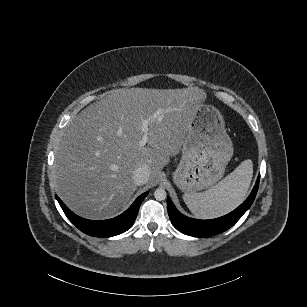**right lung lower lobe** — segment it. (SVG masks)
Returning a JSON list of instances; mask_svg holds the SVG:
<instances>
[{
	"label": "right lung lower lobe",
	"mask_w": 307,
	"mask_h": 307,
	"mask_svg": "<svg viewBox=\"0 0 307 307\" xmlns=\"http://www.w3.org/2000/svg\"><path fill=\"white\" fill-rule=\"evenodd\" d=\"M148 192L140 195L131 207L123 214L109 220L93 221L81 218L69 210L65 204L57 198L61 208L63 209L69 220L82 232L96 237H111L127 231L134 223L140 204Z\"/></svg>",
	"instance_id": "right-lung-lower-lobe-1"
}]
</instances>
